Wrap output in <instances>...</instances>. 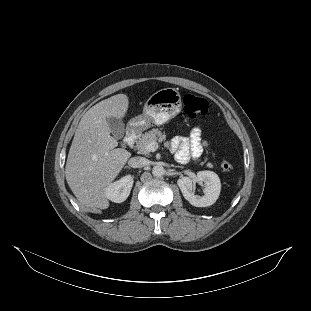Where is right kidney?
Segmentation results:
<instances>
[{
	"mask_svg": "<svg viewBox=\"0 0 311 311\" xmlns=\"http://www.w3.org/2000/svg\"><path fill=\"white\" fill-rule=\"evenodd\" d=\"M133 182V177L126 175L120 180L110 183L105 189V197L115 203L124 202L131 192Z\"/></svg>",
	"mask_w": 311,
	"mask_h": 311,
	"instance_id": "right-kidney-1",
	"label": "right kidney"
}]
</instances>
